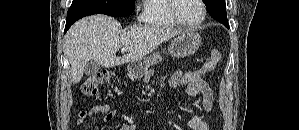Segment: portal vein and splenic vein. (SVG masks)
Here are the masks:
<instances>
[{"label": "portal vein and splenic vein", "mask_w": 299, "mask_h": 130, "mask_svg": "<svg viewBox=\"0 0 299 130\" xmlns=\"http://www.w3.org/2000/svg\"><path fill=\"white\" fill-rule=\"evenodd\" d=\"M122 52H126V51H131V48L130 47H123L121 49Z\"/></svg>", "instance_id": "1"}]
</instances>
